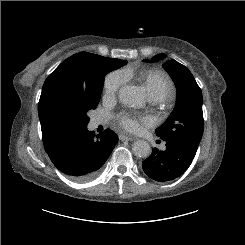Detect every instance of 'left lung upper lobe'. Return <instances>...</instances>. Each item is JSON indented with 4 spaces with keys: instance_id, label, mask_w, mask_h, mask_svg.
Returning a JSON list of instances; mask_svg holds the SVG:
<instances>
[{
    "instance_id": "1",
    "label": "left lung upper lobe",
    "mask_w": 245,
    "mask_h": 245,
    "mask_svg": "<svg viewBox=\"0 0 245 245\" xmlns=\"http://www.w3.org/2000/svg\"><path fill=\"white\" fill-rule=\"evenodd\" d=\"M163 57L164 54H158L152 60L158 61ZM164 67L175 80L178 98L169 118L156 129V135L164 141H180L197 150L204 128L201 89L184 65L169 60Z\"/></svg>"
}]
</instances>
